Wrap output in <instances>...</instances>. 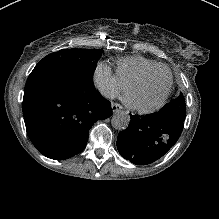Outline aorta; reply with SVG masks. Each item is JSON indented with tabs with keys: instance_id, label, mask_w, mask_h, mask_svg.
Listing matches in <instances>:
<instances>
[{
	"instance_id": "obj_1",
	"label": "aorta",
	"mask_w": 219,
	"mask_h": 219,
	"mask_svg": "<svg viewBox=\"0 0 219 219\" xmlns=\"http://www.w3.org/2000/svg\"><path fill=\"white\" fill-rule=\"evenodd\" d=\"M130 120V116L127 112L118 110L113 114L111 124L116 130L122 131L128 128Z\"/></svg>"
}]
</instances>
